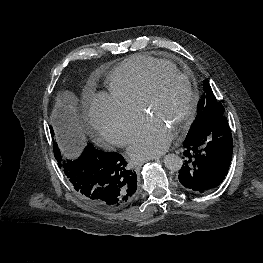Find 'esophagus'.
<instances>
[{
    "instance_id": "1",
    "label": "esophagus",
    "mask_w": 263,
    "mask_h": 263,
    "mask_svg": "<svg viewBox=\"0 0 263 263\" xmlns=\"http://www.w3.org/2000/svg\"><path fill=\"white\" fill-rule=\"evenodd\" d=\"M158 159V158H157ZM144 163V161H140L138 163H134L136 167H140L142 164Z\"/></svg>"
}]
</instances>
